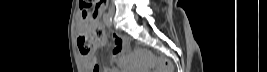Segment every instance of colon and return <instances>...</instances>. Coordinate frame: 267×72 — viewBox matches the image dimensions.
I'll return each instance as SVG.
<instances>
[{"label": "colon", "instance_id": "5ec220e1", "mask_svg": "<svg viewBox=\"0 0 267 72\" xmlns=\"http://www.w3.org/2000/svg\"><path fill=\"white\" fill-rule=\"evenodd\" d=\"M106 2V0H81V11L85 25L93 38V41L84 36L78 39V46L83 54L92 52L93 44L100 43L106 38V33L98 22L99 6ZM95 70H98V67H95ZM161 72H172V66L168 61L161 64Z\"/></svg>", "mask_w": 267, "mask_h": 72}]
</instances>
